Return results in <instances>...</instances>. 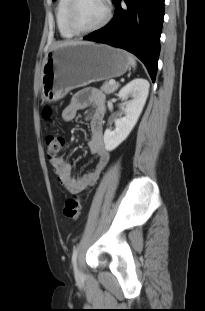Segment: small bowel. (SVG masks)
Wrapping results in <instances>:
<instances>
[{
    "instance_id": "obj_1",
    "label": "small bowel",
    "mask_w": 205,
    "mask_h": 311,
    "mask_svg": "<svg viewBox=\"0 0 205 311\" xmlns=\"http://www.w3.org/2000/svg\"><path fill=\"white\" fill-rule=\"evenodd\" d=\"M92 112L86 117L89 124L90 138L87 146L91 154L96 156L97 163L93 170L81 175H74L71 164L62 156L51 160L57 181L70 193L78 194L93 186L101 171L109 162L110 153L105 147L103 139L105 96L95 88H86L76 93L70 103L63 109L61 117L65 122H71L77 113L87 108Z\"/></svg>"
}]
</instances>
